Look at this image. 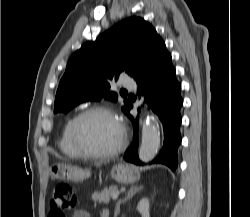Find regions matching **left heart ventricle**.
<instances>
[{"instance_id":"left-heart-ventricle-1","label":"left heart ventricle","mask_w":250,"mask_h":217,"mask_svg":"<svg viewBox=\"0 0 250 217\" xmlns=\"http://www.w3.org/2000/svg\"><path fill=\"white\" fill-rule=\"evenodd\" d=\"M78 137L87 149L104 152L117 145L120 139V128L112 117L104 113H93L80 121Z\"/></svg>"}]
</instances>
